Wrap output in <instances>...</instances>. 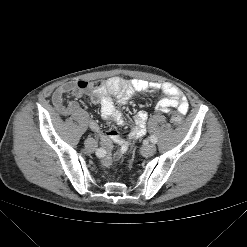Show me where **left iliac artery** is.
<instances>
[{"instance_id":"44dca946","label":"left iliac artery","mask_w":247,"mask_h":247,"mask_svg":"<svg viewBox=\"0 0 247 247\" xmlns=\"http://www.w3.org/2000/svg\"><path fill=\"white\" fill-rule=\"evenodd\" d=\"M150 141L152 142V143H157V137H155L154 135H152V136H150Z\"/></svg>"}]
</instances>
